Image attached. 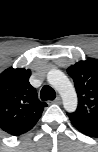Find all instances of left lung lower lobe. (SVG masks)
Returning a JSON list of instances; mask_svg holds the SVG:
<instances>
[{
  "instance_id": "1",
  "label": "left lung lower lobe",
  "mask_w": 98,
  "mask_h": 152,
  "mask_svg": "<svg viewBox=\"0 0 98 152\" xmlns=\"http://www.w3.org/2000/svg\"><path fill=\"white\" fill-rule=\"evenodd\" d=\"M73 126L79 130L81 133L90 136V137H98V128L92 127L84 124L73 123Z\"/></svg>"
}]
</instances>
